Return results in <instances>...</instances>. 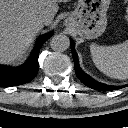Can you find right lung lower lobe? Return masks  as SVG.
Wrapping results in <instances>:
<instances>
[{
	"mask_svg": "<svg viewBox=\"0 0 128 128\" xmlns=\"http://www.w3.org/2000/svg\"><path fill=\"white\" fill-rule=\"evenodd\" d=\"M53 35L47 33L41 37L31 57L21 66L14 69L0 68V86H18L33 80L39 69V51L44 42Z\"/></svg>",
	"mask_w": 128,
	"mask_h": 128,
	"instance_id": "right-lung-lower-lobe-1",
	"label": "right lung lower lobe"
}]
</instances>
